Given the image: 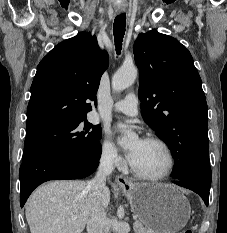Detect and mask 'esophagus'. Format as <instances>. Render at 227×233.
Returning a JSON list of instances; mask_svg holds the SVG:
<instances>
[{"instance_id":"34e87169","label":"esophagus","mask_w":227,"mask_h":233,"mask_svg":"<svg viewBox=\"0 0 227 233\" xmlns=\"http://www.w3.org/2000/svg\"><path fill=\"white\" fill-rule=\"evenodd\" d=\"M118 13H122L123 10H117ZM116 184L120 187H127L130 186V182L125 179L123 176L119 175L116 177Z\"/></svg>"}]
</instances>
